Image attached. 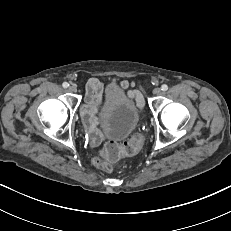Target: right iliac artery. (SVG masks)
<instances>
[{"label":"right iliac artery","instance_id":"1","mask_svg":"<svg viewBox=\"0 0 231 231\" xmlns=\"http://www.w3.org/2000/svg\"><path fill=\"white\" fill-rule=\"evenodd\" d=\"M62 86H63V88H67V87L69 86V84H68L67 82H64V83L62 84Z\"/></svg>","mask_w":231,"mask_h":231}]
</instances>
